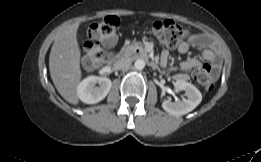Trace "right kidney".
Listing matches in <instances>:
<instances>
[{"mask_svg":"<svg viewBox=\"0 0 261 162\" xmlns=\"http://www.w3.org/2000/svg\"><path fill=\"white\" fill-rule=\"evenodd\" d=\"M96 84H99V86H96ZM111 86L112 82L109 78L89 76L79 83L77 95L82 102L95 104L107 96Z\"/></svg>","mask_w":261,"mask_h":162,"instance_id":"1","label":"right kidney"}]
</instances>
